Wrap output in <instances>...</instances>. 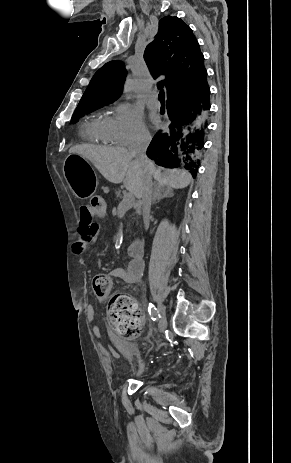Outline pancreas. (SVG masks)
Listing matches in <instances>:
<instances>
[{"label":"pancreas","mask_w":291,"mask_h":463,"mask_svg":"<svg viewBox=\"0 0 291 463\" xmlns=\"http://www.w3.org/2000/svg\"><path fill=\"white\" fill-rule=\"evenodd\" d=\"M115 196H116V198H118V199H122V198H123V196H122V194H121V191H119V190L115 192Z\"/></svg>","instance_id":"obj_1"}]
</instances>
